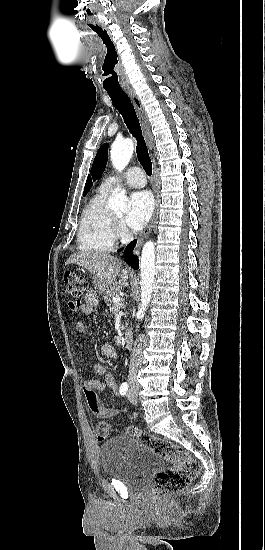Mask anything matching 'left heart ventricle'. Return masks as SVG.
<instances>
[{
	"label": "left heart ventricle",
	"instance_id": "1",
	"mask_svg": "<svg viewBox=\"0 0 265 550\" xmlns=\"http://www.w3.org/2000/svg\"><path fill=\"white\" fill-rule=\"evenodd\" d=\"M117 216H118V217H122V214H118Z\"/></svg>",
	"mask_w": 265,
	"mask_h": 550
}]
</instances>
